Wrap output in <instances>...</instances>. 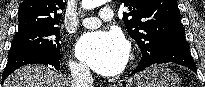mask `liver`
Segmentation results:
<instances>
[{
  "mask_svg": "<svg viewBox=\"0 0 205 87\" xmlns=\"http://www.w3.org/2000/svg\"><path fill=\"white\" fill-rule=\"evenodd\" d=\"M3 87H71V82L51 66L37 64L13 72Z\"/></svg>",
  "mask_w": 205,
  "mask_h": 87,
  "instance_id": "obj_1",
  "label": "liver"
}]
</instances>
